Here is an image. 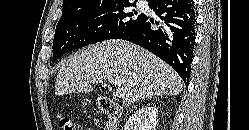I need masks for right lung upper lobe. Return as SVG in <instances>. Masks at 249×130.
Returning a JSON list of instances; mask_svg holds the SVG:
<instances>
[{
    "instance_id": "right-lung-upper-lobe-1",
    "label": "right lung upper lobe",
    "mask_w": 249,
    "mask_h": 130,
    "mask_svg": "<svg viewBox=\"0 0 249 130\" xmlns=\"http://www.w3.org/2000/svg\"><path fill=\"white\" fill-rule=\"evenodd\" d=\"M113 0H64L63 12L76 11L85 7ZM122 1V0H117Z\"/></svg>"
}]
</instances>
